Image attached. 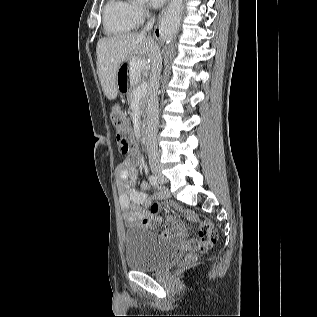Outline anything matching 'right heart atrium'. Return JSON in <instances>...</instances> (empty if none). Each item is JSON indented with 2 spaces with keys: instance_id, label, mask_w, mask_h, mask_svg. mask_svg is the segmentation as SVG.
<instances>
[{
  "instance_id": "obj_1",
  "label": "right heart atrium",
  "mask_w": 317,
  "mask_h": 317,
  "mask_svg": "<svg viewBox=\"0 0 317 317\" xmlns=\"http://www.w3.org/2000/svg\"><path fill=\"white\" fill-rule=\"evenodd\" d=\"M133 14L137 24H140L146 19L149 12L145 6L136 4L133 6Z\"/></svg>"
}]
</instances>
